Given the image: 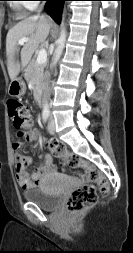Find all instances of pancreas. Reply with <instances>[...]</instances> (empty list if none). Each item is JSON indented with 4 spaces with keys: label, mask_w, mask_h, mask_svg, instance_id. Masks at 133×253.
Returning <instances> with one entry per match:
<instances>
[{
    "label": "pancreas",
    "mask_w": 133,
    "mask_h": 253,
    "mask_svg": "<svg viewBox=\"0 0 133 253\" xmlns=\"http://www.w3.org/2000/svg\"><path fill=\"white\" fill-rule=\"evenodd\" d=\"M46 64H37L35 59H32L25 70L24 77L27 82L34 86V98L37 99L44 86V80L46 75L44 74V68Z\"/></svg>",
    "instance_id": "cf45deb5"
}]
</instances>
